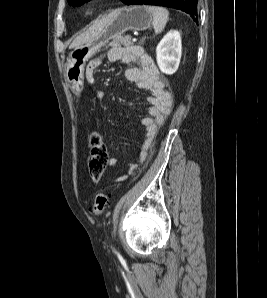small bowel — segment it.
<instances>
[{
    "label": "small bowel",
    "instance_id": "obj_1",
    "mask_svg": "<svg viewBox=\"0 0 267 298\" xmlns=\"http://www.w3.org/2000/svg\"><path fill=\"white\" fill-rule=\"evenodd\" d=\"M108 60L113 63L128 65L135 63L136 66L125 67V78L136 84L138 87L149 90L150 96L148 101V116L142 121L146 130L145 140L140 148V161H145L152 141L159 129L169 115L173 100L170 92L167 90V82L160 75V72L154 63L153 59L138 46L129 47H113L108 52ZM101 65V59L96 58L90 61L86 69V80L92 87L96 83V72ZM97 99H103L105 93L102 90H95ZM116 159L109 160L110 165H114ZM134 165L130 166V169ZM125 175L118 177V181H123Z\"/></svg>",
    "mask_w": 267,
    "mask_h": 298
}]
</instances>
